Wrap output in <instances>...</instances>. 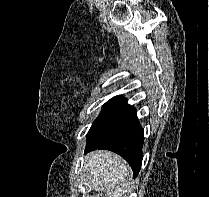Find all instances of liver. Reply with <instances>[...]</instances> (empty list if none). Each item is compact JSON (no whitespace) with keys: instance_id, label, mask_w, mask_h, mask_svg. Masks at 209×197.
<instances>
[{"instance_id":"liver-1","label":"liver","mask_w":209,"mask_h":197,"mask_svg":"<svg viewBox=\"0 0 209 197\" xmlns=\"http://www.w3.org/2000/svg\"><path fill=\"white\" fill-rule=\"evenodd\" d=\"M84 167L89 172L92 189L104 192L105 197H123L127 192L129 166L117 154L103 150L91 152Z\"/></svg>"}]
</instances>
